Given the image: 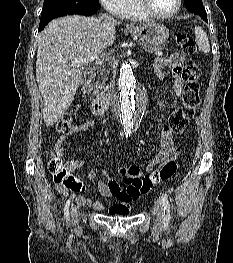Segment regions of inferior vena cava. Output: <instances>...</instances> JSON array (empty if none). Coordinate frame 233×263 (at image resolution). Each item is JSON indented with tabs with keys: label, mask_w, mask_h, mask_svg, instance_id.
<instances>
[{
	"label": "inferior vena cava",
	"mask_w": 233,
	"mask_h": 263,
	"mask_svg": "<svg viewBox=\"0 0 233 263\" xmlns=\"http://www.w3.org/2000/svg\"><path fill=\"white\" fill-rule=\"evenodd\" d=\"M99 20H100L101 22H105V23H114V22H116L115 19H114L112 16H110V15H108V14H106V13H105V14H102V15L99 17ZM112 95H113V93H112ZM112 112L117 114L114 101H112Z\"/></svg>",
	"instance_id": "obj_1"
}]
</instances>
